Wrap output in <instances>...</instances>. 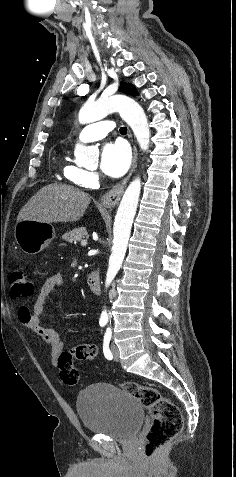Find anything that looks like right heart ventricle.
<instances>
[{
    "mask_svg": "<svg viewBox=\"0 0 236 477\" xmlns=\"http://www.w3.org/2000/svg\"><path fill=\"white\" fill-rule=\"evenodd\" d=\"M63 173L66 176V178H68L69 176L73 177V179L68 178L73 185L83 186L82 185V180L86 176L87 171L84 170L83 168L79 167V166L69 164V163H65L63 165Z\"/></svg>",
    "mask_w": 236,
    "mask_h": 477,
    "instance_id": "e07e8e85",
    "label": "right heart ventricle"
}]
</instances>
